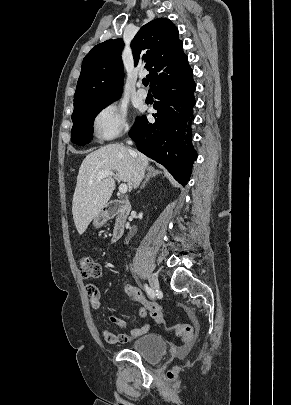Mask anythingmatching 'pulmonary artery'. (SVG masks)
<instances>
[{
  "label": "pulmonary artery",
  "mask_w": 291,
  "mask_h": 405,
  "mask_svg": "<svg viewBox=\"0 0 291 405\" xmlns=\"http://www.w3.org/2000/svg\"><path fill=\"white\" fill-rule=\"evenodd\" d=\"M137 95L141 99H146L147 97V91L142 87L141 83L138 84Z\"/></svg>",
  "instance_id": "obj_1"
}]
</instances>
